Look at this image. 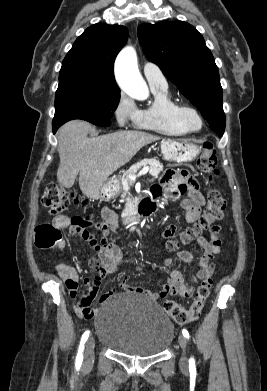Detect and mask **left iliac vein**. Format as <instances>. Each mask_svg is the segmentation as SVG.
<instances>
[{"mask_svg": "<svg viewBox=\"0 0 267 391\" xmlns=\"http://www.w3.org/2000/svg\"><path fill=\"white\" fill-rule=\"evenodd\" d=\"M178 342L180 347L183 350L182 356L180 358V367L183 370H187L188 368V357L186 353V348H187V340L184 335H179L178 337Z\"/></svg>", "mask_w": 267, "mask_h": 391, "instance_id": "1", "label": "left iliac vein"}]
</instances>
